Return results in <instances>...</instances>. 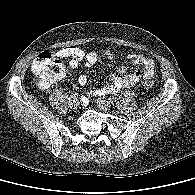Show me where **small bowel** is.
I'll return each instance as SVG.
<instances>
[{"instance_id":"obj_1","label":"small bowel","mask_w":195,"mask_h":195,"mask_svg":"<svg viewBox=\"0 0 195 195\" xmlns=\"http://www.w3.org/2000/svg\"><path fill=\"white\" fill-rule=\"evenodd\" d=\"M57 56L61 58H69V65L71 68H77L80 63L85 60L88 67L93 66L97 62V54L94 51L84 52L79 47H65L57 52ZM104 56L111 60L115 58V53L111 50H106ZM128 59L140 69L133 73H127L124 66H120L116 71L110 74L109 79L111 84L105 85L101 88L94 89L88 92L86 99L90 97H99L105 94H117L124 87L134 86L141 78L144 80L151 79L155 75V63L152 59L143 54H129ZM78 82L81 85L87 83V76L80 75Z\"/></svg>"}]
</instances>
